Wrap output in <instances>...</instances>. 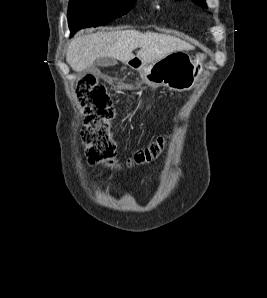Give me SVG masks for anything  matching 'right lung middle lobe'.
I'll use <instances>...</instances> for the list:
<instances>
[{
    "mask_svg": "<svg viewBox=\"0 0 267 298\" xmlns=\"http://www.w3.org/2000/svg\"><path fill=\"white\" fill-rule=\"evenodd\" d=\"M134 0H70L68 23L71 34L77 30L105 25L128 13Z\"/></svg>",
    "mask_w": 267,
    "mask_h": 298,
    "instance_id": "obj_1",
    "label": "right lung middle lobe"
}]
</instances>
